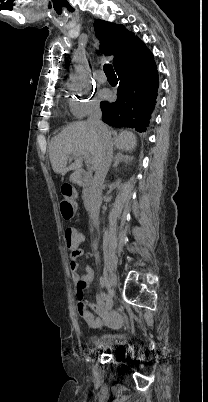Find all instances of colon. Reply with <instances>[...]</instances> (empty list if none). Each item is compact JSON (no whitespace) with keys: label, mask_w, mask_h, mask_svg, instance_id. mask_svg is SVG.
I'll list each match as a JSON object with an SVG mask.
<instances>
[{"label":"colon","mask_w":208,"mask_h":402,"mask_svg":"<svg viewBox=\"0 0 208 402\" xmlns=\"http://www.w3.org/2000/svg\"><path fill=\"white\" fill-rule=\"evenodd\" d=\"M60 192L62 196L70 197L73 192H74V186L70 183H64L62 184L60 188ZM61 212L63 214H66L65 219L68 222L73 221L74 216L73 214L75 213V206L74 205H63L61 207ZM79 234L74 228H68L65 230L64 233V239H65V244L67 248L71 250L70 254V259L71 260H76L77 255H83L84 254V249L83 248H78L79 247ZM88 292V289H84V295L86 296ZM80 305H79V310H80V315L82 317L87 316L88 313V306L91 303V300L89 297H82L80 300Z\"/></svg>","instance_id":"5ec220e1"}]
</instances>
